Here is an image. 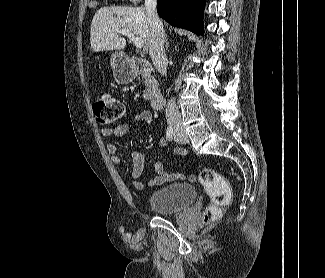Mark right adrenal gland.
I'll list each match as a JSON object with an SVG mask.
<instances>
[{"mask_svg": "<svg viewBox=\"0 0 325 278\" xmlns=\"http://www.w3.org/2000/svg\"><path fill=\"white\" fill-rule=\"evenodd\" d=\"M165 46H166V50H167L168 47H169V43H168V40H167V35L165 36Z\"/></svg>", "mask_w": 325, "mask_h": 278, "instance_id": "right-adrenal-gland-1", "label": "right adrenal gland"}]
</instances>
